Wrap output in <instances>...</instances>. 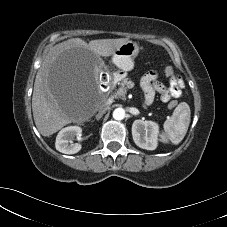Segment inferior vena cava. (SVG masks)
<instances>
[{
	"label": "inferior vena cava",
	"instance_id": "602c4592",
	"mask_svg": "<svg viewBox=\"0 0 227 227\" xmlns=\"http://www.w3.org/2000/svg\"><path fill=\"white\" fill-rule=\"evenodd\" d=\"M105 110H106V105H101L98 109L97 117L100 118L104 114Z\"/></svg>",
	"mask_w": 227,
	"mask_h": 227
}]
</instances>
